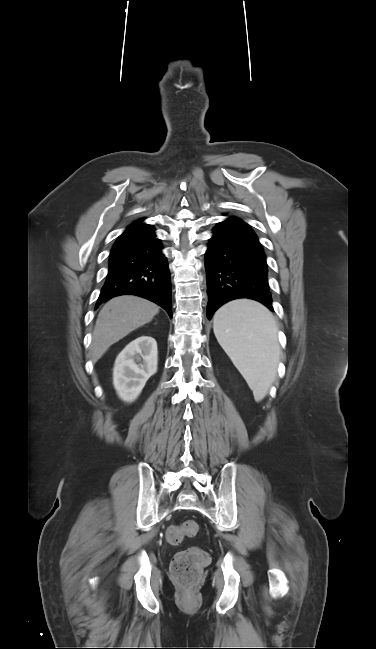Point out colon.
I'll use <instances>...</instances> for the list:
<instances>
[{"instance_id":"colon-1","label":"colon","mask_w":376,"mask_h":649,"mask_svg":"<svg viewBox=\"0 0 376 649\" xmlns=\"http://www.w3.org/2000/svg\"><path fill=\"white\" fill-rule=\"evenodd\" d=\"M200 526L194 520H186L179 525L169 526L166 531L168 543L177 545L185 537L198 534ZM210 561L209 554L197 547L178 552L171 563L170 573L174 581L185 589L194 587L201 578L203 569Z\"/></svg>"}]
</instances>
